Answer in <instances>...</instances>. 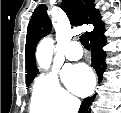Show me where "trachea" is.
<instances>
[{"label": "trachea", "instance_id": "trachea-1", "mask_svg": "<svg viewBox=\"0 0 121 113\" xmlns=\"http://www.w3.org/2000/svg\"><path fill=\"white\" fill-rule=\"evenodd\" d=\"M80 42L86 49H90L89 37L87 33H84L80 36Z\"/></svg>", "mask_w": 121, "mask_h": 113}]
</instances>
